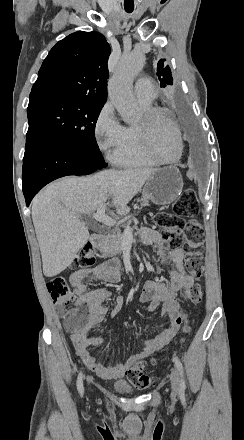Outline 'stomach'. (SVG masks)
<instances>
[{"label": "stomach", "mask_w": 244, "mask_h": 440, "mask_svg": "<svg viewBox=\"0 0 244 440\" xmlns=\"http://www.w3.org/2000/svg\"><path fill=\"white\" fill-rule=\"evenodd\" d=\"M183 188V178L176 166L157 168L150 174L142 192V202L148 206L149 200L158 206L171 204L179 198Z\"/></svg>", "instance_id": "stomach-1"}]
</instances>
